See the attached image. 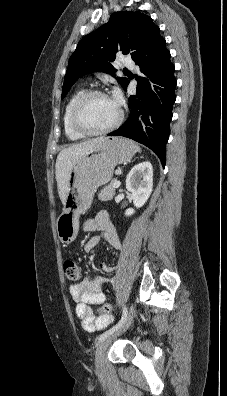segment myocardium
I'll use <instances>...</instances> for the list:
<instances>
[{"instance_id":"1","label":"myocardium","mask_w":227,"mask_h":396,"mask_svg":"<svg viewBox=\"0 0 227 396\" xmlns=\"http://www.w3.org/2000/svg\"><path fill=\"white\" fill-rule=\"evenodd\" d=\"M94 96H107L108 95L103 92L102 90L99 89H90L87 91H84L80 97L77 99V101L74 104L73 110H72V124L74 128L79 131L80 133L84 135H102L109 133L113 130H115L123 121L124 118V112L121 108H119L118 116L116 120L110 124L109 126L102 128V129H93L90 128L83 120V109L85 104L89 99H91Z\"/></svg>"}]
</instances>
